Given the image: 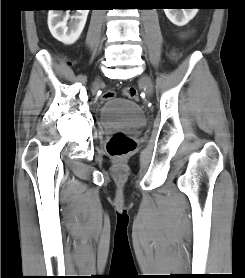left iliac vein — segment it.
I'll list each match as a JSON object with an SVG mask.
<instances>
[{
  "instance_id": "4c4485c4",
  "label": "left iliac vein",
  "mask_w": 245,
  "mask_h": 278,
  "mask_svg": "<svg viewBox=\"0 0 245 278\" xmlns=\"http://www.w3.org/2000/svg\"><path fill=\"white\" fill-rule=\"evenodd\" d=\"M140 81L146 86V90L148 94H152L153 92V84L151 79L147 75H142Z\"/></svg>"
}]
</instances>
